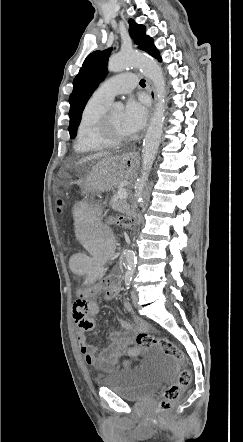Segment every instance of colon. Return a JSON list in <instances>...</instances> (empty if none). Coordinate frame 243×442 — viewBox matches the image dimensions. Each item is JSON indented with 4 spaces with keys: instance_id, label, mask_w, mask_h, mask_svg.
<instances>
[{
    "instance_id": "colon-1",
    "label": "colon",
    "mask_w": 243,
    "mask_h": 442,
    "mask_svg": "<svg viewBox=\"0 0 243 442\" xmlns=\"http://www.w3.org/2000/svg\"><path fill=\"white\" fill-rule=\"evenodd\" d=\"M61 206L62 201L59 200L58 207ZM108 218L110 226L117 227L119 230H141L145 227L143 222L138 221L137 216H129L128 213H111ZM136 340L143 350L158 347L164 354L171 356L182 365L177 380L165 389L159 404V417L167 418L171 408L180 399L183 391L192 380L191 371L186 367V355L178 346L164 337H156L153 334L142 332L138 334Z\"/></svg>"
}]
</instances>
